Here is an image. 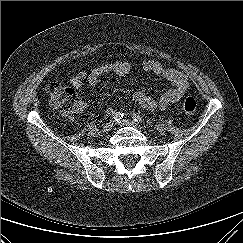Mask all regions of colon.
<instances>
[{
	"label": "colon",
	"instance_id": "obj_1",
	"mask_svg": "<svg viewBox=\"0 0 243 243\" xmlns=\"http://www.w3.org/2000/svg\"><path fill=\"white\" fill-rule=\"evenodd\" d=\"M54 113L59 117H66L76 107L74 94L70 89H65L57 84H49L46 88ZM197 107L196 100L192 96H185L182 100L183 111L191 115Z\"/></svg>",
	"mask_w": 243,
	"mask_h": 243
}]
</instances>
